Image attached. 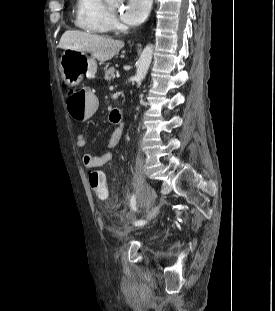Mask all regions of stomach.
I'll use <instances>...</instances> for the list:
<instances>
[{"instance_id": "obj_1", "label": "stomach", "mask_w": 275, "mask_h": 311, "mask_svg": "<svg viewBox=\"0 0 275 311\" xmlns=\"http://www.w3.org/2000/svg\"><path fill=\"white\" fill-rule=\"evenodd\" d=\"M62 78L68 86L78 85L83 76L93 78L97 72V62L85 52L67 49L60 59Z\"/></svg>"}]
</instances>
